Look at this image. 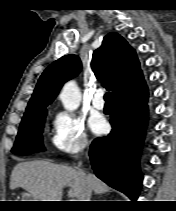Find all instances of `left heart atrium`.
<instances>
[{
  "instance_id": "left-heart-atrium-1",
  "label": "left heart atrium",
  "mask_w": 176,
  "mask_h": 211,
  "mask_svg": "<svg viewBox=\"0 0 176 211\" xmlns=\"http://www.w3.org/2000/svg\"><path fill=\"white\" fill-rule=\"evenodd\" d=\"M90 127L96 134L104 133L107 129V123L101 116H94L90 120Z\"/></svg>"
}]
</instances>
